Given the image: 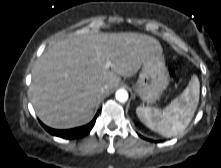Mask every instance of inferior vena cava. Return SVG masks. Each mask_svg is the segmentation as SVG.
Wrapping results in <instances>:
<instances>
[{
  "mask_svg": "<svg viewBox=\"0 0 221 168\" xmlns=\"http://www.w3.org/2000/svg\"><path fill=\"white\" fill-rule=\"evenodd\" d=\"M107 88H108V86H107V85H104V86L101 87L100 90H101V92L103 93L105 90H107Z\"/></svg>",
  "mask_w": 221,
  "mask_h": 168,
  "instance_id": "602c4592",
  "label": "inferior vena cava"
}]
</instances>
